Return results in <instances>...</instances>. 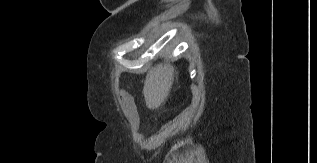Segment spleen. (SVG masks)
<instances>
[{
  "label": "spleen",
  "mask_w": 317,
  "mask_h": 163,
  "mask_svg": "<svg viewBox=\"0 0 317 163\" xmlns=\"http://www.w3.org/2000/svg\"><path fill=\"white\" fill-rule=\"evenodd\" d=\"M173 80L174 67L170 64H158L148 72L143 93L150 108H157L164 101Z\"/></svg>",
  "instance_id": "1"
}]
</instances>
